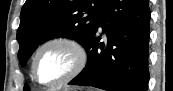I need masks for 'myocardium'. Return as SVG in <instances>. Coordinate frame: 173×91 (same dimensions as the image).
Instances as JSON below:
<instances>
[{
	"mask_svg": "<svg viewBox=\"0 0 173 91\" xmlns=\"http://www.w3.org/2000/svg\"><path fill=\"white\" fill-rule=\"evenodd\" d=\"M50 46H63L67 48L74 57V63L71 68V70L64 75L63 77L51 81V82H43L38 78L36 66L37 61L40 56V54L48 47ZM88 62V52L85 48L84 44L79 41L78 39L71 37V36H57L48 39L45 41L35 52L33 59H32V65H31V72L33 79L38 82L42 86L46 87H56L61 86L76 76H78L86 67Z\"/></svg>",
	"mask_w": 173,
	"mask_h": 91,
	"instance_id": "obj_1",
	"label": "myocardium"
}]
</instances>
